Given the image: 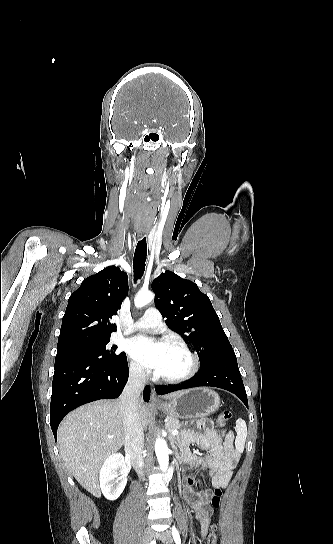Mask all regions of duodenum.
Listing matches in <instances>:
<instances>
[{
  "label": "duodenum",
  "mask_w": 333,
  "mask_h": 544,
  "mask_svg": "<svg viewBox=\"0 0 333 544\" xmlns=\"http://www.w3.org/2000/svg\"><path fill=\"white\" fill-rule=\"evenodd\" d=\"M127 456H129L130 458L133 457V451L131 449L127 450Z\"/></svg>",
  "instance_id": "410a0bca"
}]
</instances>
